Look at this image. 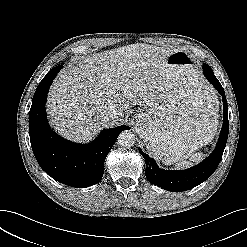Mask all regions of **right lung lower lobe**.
I'll use <instances>...</instances> for the list:
<instances>
[{"label":"right lung lower lobe","mask_w":247,"mask_h":247,"mask_svg":"<svg viewBox=\"0 0 247 247\" xmlns=\"http://www.w3.org/2000/svg\"><path fill=\"white\" fill-rule=\"evenodd\" d=\"M62 67L52 68L36 89L29 112L30 142L37 162L48 175L65 185L84 188L101 180L106 156L118 135L130 128L122 125L103 130L96 140L85 145L66 141L52 131L45 103L49 87Z\"/></svg>","instance_id":"obj_1"}]
</instances>
